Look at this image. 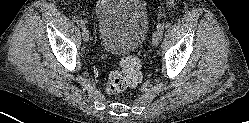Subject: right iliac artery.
Wrapping results in <instances>:
<instances>
[{
  "label": "right iliac artery",
  "mask_w": 249,
  "mask_h": 123,
  "mask_svg": "<svg viewBox=\"0 0 249 123\" xmlns=\"http://www.w3.org/2000/svg\"><path fill=\"white\" fill-rule=\"evenodd\" d=\"M77 24H78V26L81 27V28L85 27V22H84L82 19H78V20H77Z\"/></svg>",
  "instance_id": "obj_1"
}]
</instances>
